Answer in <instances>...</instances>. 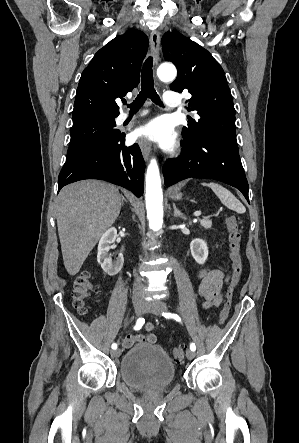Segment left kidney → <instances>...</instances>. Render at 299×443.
<instances>
[{"label":"left kidney","mask_w":299,"mask_h":443,"mask_svg":"<svg viewBox=\"0 0 299 443\" xmlns=\"http://www.w3.org/2000/svg\"><path fill=\"white\" fill-rule=\"evenodd\" d=\"M190 250L193 258L198 264H204L208 258V247L207 243L200 239L196 238L192 240L190 243Z\"/></svg>","instance_id":"left-kidney-1"}]
</instances>
